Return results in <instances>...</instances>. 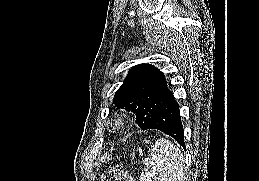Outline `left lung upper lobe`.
Here are the masks:
<instances>
[{
    "label": "left lung upper lobe",
    "mask_w": 259,
    "mask_h": 181,
    "mask_svg": "<svg viewBox=\"0 0 259 181\" xmlns=\"http://www.w3.org/2000/svg\"><path fill=\"white\" fill-rule=\"evenodd\" d=\"M170 95L164 73L150 64H141L131 68L113 103L136 113V123L144 130Z\"/></svg>",
    "instance_id": "1"
}]
</instances>
